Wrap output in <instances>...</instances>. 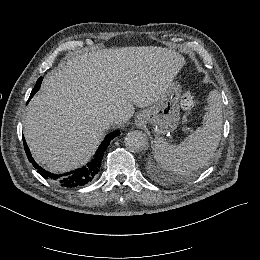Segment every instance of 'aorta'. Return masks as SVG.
I'll return each mask as SVG.
<instances>
[{
	"mask_svg": "<svg viewBox=\"0 0 260 260\" xmlns=\"http://www.w3.org/2000/svg\"><path fill=\"white\" fill-rule=\"evenodd\" d=\"M146 134L140 131H131L125 137V145L130 152H140L147 147Z\"/></svg>",
	"mask_w": 260,
	"mask_h": 260,
	"instance_id": "aorta-1",
	"label": "aorta"
}]
</instances>
